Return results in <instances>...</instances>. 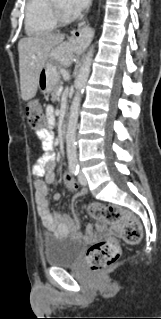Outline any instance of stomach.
Returning <instances> with one entry per match:
<instances>
[{
	"mask_svg": "<svg viewBox=\"0 0 161 319\" xmlns=\"http://www.w3.org/2000/svg\"><path fill=\"white\" fill-rule=\"evenodd\" d=\"M71 49V43H62L51 50L47 63L39 73L38 87L43 93H50L59 81L58 69L67 65Z\"/></svg>",
	"mask_w": 161,
	"mask_h": 319,
	"instance_id": "1",
	"label": "stomach"
}]
</instances>
